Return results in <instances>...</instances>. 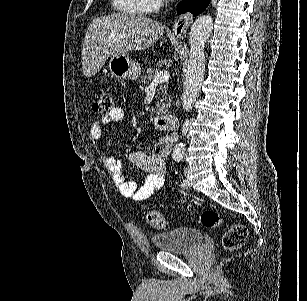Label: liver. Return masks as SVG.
Wrapping results in <instances>:
<instances>
[{
  "label": "liver",
  "mask_w": 307,
  "mask_h": 301,
  "mask_svg": "<svg viewBox=\"0 0 307 301\" xmlns=\"http://www.w3.org/2000/svg\"><path fill=\"white\" fill-rule=\"evenodd\" d=\"M164 24L145 16L108 14L90 22L84 38L82 68L85 76H94L108 56L150 48L162 36Z\"/></svg>",
  "instance_id": "obj_1"
}]
</instances>
